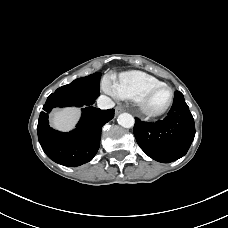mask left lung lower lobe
Returning <instances> with one entry per match:
<instances>
[{"instance_id": "obj_1", "label": "left lung lower lobe", "mask_w": 228, "mask_h": 228, "mask_svg": "<svg viewBox=\"0 0 228 228\" xmlns=\"http://www.w3.org/2000/svg\"><path fill=\"white\" fill-rule=\"evenodd\" d=\"M133 131L138 145L149 157L169 163L187 153L195 136V125L183 94L176 91L164 120L148 123L135 118Z\"/></svg>"}]
</instances>
